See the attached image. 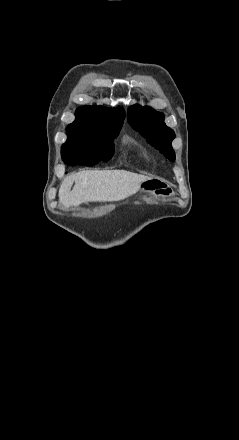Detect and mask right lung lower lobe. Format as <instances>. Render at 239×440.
<instances>
[{
    "instance_id": "1",
    "label": "right lung lower lobe",
    "mask_w": 239,
    "mask_h": 440,
    "mask_svg": "<svg viewBox=\"0 0 239 440\" xmlns=\"http://www.w3.org/2000/svg\"><path fill=\"white\" fill-rule=\"evenodd\" d=\"M114 151L101 150L96 147H76L61 151L62 159L69 166L85 165L93 166L96 163L108 161L113 156Z\"/></svg>"
}]
</instances>
